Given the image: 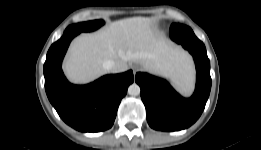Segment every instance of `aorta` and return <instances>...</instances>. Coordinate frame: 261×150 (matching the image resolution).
<instances>
[{
    "mask_svg": "<svg viewBox=\"0 0 261 150\" xmlns=\"http://www.w3.org/2000/svg\"><path fill=\"white\" fill-rule=\"evenodd\" d=\"M128 94L131 96H137L140 94V87L138 84L133 83L128 88Z\"/></svg>",
    "mask_w": 261,
    "mask_h": 150,
    "instance_id": "aorta-1",
    "label": "aorta"
}]
</instances>
